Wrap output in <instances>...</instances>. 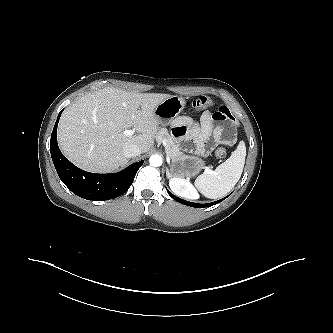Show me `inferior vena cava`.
<instances>
[{"label": "inferior vena cava", "instance_id": "inferior-vena-cava-1", "mask_svg": "<svg viewBox=\"0 0 333 333\" xmlns=\"http://www.w3.org/2000/svg\"><path fill=\"white\" fill-rule=\"evenodd\" d=\"M123 153L127 158H132L139 156L142 153V150L139 146L132 144L124 147Z\"/></svg>", "mask_w": 333, "mask_h": 333}]
</instances>
